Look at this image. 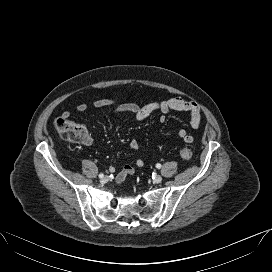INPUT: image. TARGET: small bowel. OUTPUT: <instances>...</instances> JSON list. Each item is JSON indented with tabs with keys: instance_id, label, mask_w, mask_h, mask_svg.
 I'll list each match as a JSON object with an SVG mask.
<instances>
[{
	"instance_id": "c3829d8e",
	"label": "small bowel",
	"mask_w": 272,
	"mask_h": 272,
	"mask_svg": "<svg viewBox=\"0 0 272 272\" xmlns=\"http://www.w3.org/2000/svg\"><path fill=\"white\" fill-rule=\"evenodd\" d=\"M95 108H106L113 107L115 113H132L135 115L138 121H143L148 118L154 112H160V121H165V115L171 111H182L187 112L189 115L190 125L193 129H198L201 126L202 116L201 110L197 103L192 101H187L180 97H174L170 99H162L148 103L146 105L140 106L136 103H119L117 104L113 99L102 98L97 99L93 102ZM88 108V105L84 102H80L76 105V110L79 112H84ZM71 115L70 111H64L61 117L69 118ZM178 135L184 142L191 144L194 141V137L187 133L183 128L178 130ZM130 148L137 153L135 159V166L131 164L124 165L122 169L116 174V181L122 183L128 176L133 175L137 168H142L144 166V155L141 152L140 144L137 140L133 139L129 143ZM111 172H115L116 168L114 166L110 167Z\"/></svg>"
}]
</instances>
